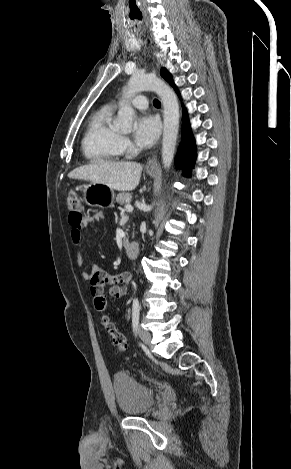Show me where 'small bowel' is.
Listing matches in <instances>:
<instances>
[{"label": "small bowel", "instance_id": "obj_1", "mask_svg": "<svg viewBox=\"0 0 291 469\" xmlns=\"http://www.w3.org/2000/svg\"><path fill=\"white\" fill-rule=\"evenodd\" d=\"M102 218L101 213H96L87 217H75L69 215L68 223L70 226V236L74 244H79L82 240V231L91 223L100 221ZM77 261L80 266L84 264V257L81 252L77 254ZM84 277L89 280L90 290L93 299L98 293H103V288L106 284H110L109 294L114 298H121L126 293V286L129 283L130 275L127 272L111 276L105 270L97 265H91L85 271ZM107 303V302H106Z\"/></svg>", "mask_w": 291, "mask_h": 469}]
</instances>
